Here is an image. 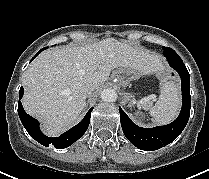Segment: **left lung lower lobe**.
Listing matches in <instances>:
<instances>
[{"mask_svg": "<svg viewBox=\"0 0 209 179\" xmlns=\"http://www.w3.org/2000/svg\"><path fill=\"white\" fill-rule=\"evenodd\" d=\"M175 55L167 54L166 58L169 65L175 69L181 77L182 87V109L178 118L164 126L154 128H142L135 125L127 114L119 107L122 130L126 138L141 150H157L170 144L185 128L190 116V75L181 58L175 52Z\"/></svg>", "mask_w": 209, "mask_h": 179, "instance_id": "obj_1", "label": "left lung lower lobe"}]
</instances>
